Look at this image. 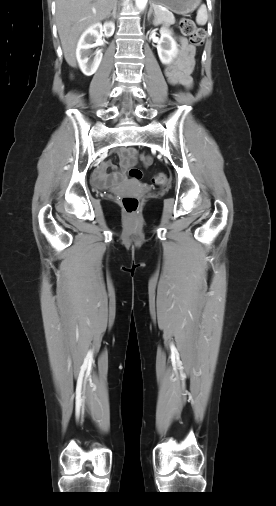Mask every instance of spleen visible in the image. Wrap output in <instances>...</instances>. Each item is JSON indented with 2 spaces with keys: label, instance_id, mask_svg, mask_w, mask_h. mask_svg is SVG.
<instances>
[{
  "label": "spleen",
  "instance_id": "3e777b00",
  "mask_svg": "<svg viewBox=\"0 0 276 506\" xmlns=\"http://www.w3.org/2000/svg\"><path fill=\"white\" fill-rule=\"evenodd\" d=\"M207 19H208L207 9H206V6L204 4H202L197 11L196 22L198 25L203 26L206 24Z\"/></svg>",
  "mask_w": 276,
  "mask_h": 506
}]
</instances>
